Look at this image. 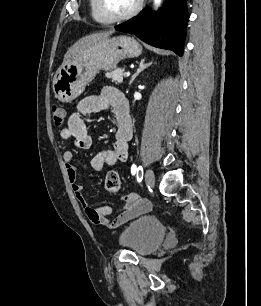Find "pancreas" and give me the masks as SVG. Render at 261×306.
<instances>
[{
    "mask_svg": "<svg viewBox=\"0 0 261 306\" xmlns=\"http://www.w3.org/2000/svg\"><path fill=\"white\" fill-rule=\"evenodd\" d=\"M105 76L108 79H112V82L115 83H122L123 82V76H124V69L117 68L113 71L107 72Z\"/></svg>",
    "mask_w": 261,
    "mask_h": 306,
    "instance_id": "cf45deb5",
    "label": "pancreas"
}]
</instances>
